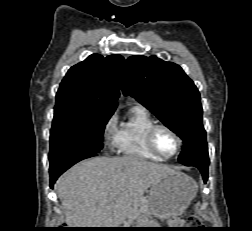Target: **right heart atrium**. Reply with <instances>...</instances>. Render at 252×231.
I'll return each instance as SVG.
<instances>
[{
	"mask_svg": "<svg viewBox=\"0 0 252 231\" xmlns=\"http://www.w3.org/2000/svg\"><path fill=\"white\" fill-rule=\"evenodd\" d=\"M118 118L116 114H111L105 121L103 126V135L106 139L113 138L117 133Z\"/></svg>",
	"mask_w": 252,
	"mask_h": 231,
	"instance_id": "right-heart-atrium-1",
	"label": "right heart atrium"
}]
</instances>
